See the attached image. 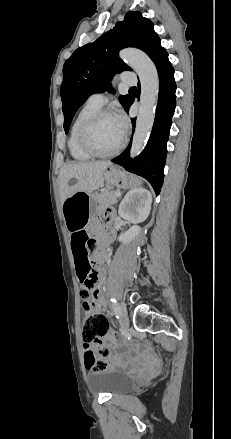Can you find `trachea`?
Masks as SVG:
<instances>
[{
	"label": "trachea",
	"instance_id": "trachea-1",
	"mask_svg": "<svg viewBox=\"0 0 231 439\" xmlns=\"http://www.w3.org/2000/svg\"><path fill=\"white\" fill-rule=\"evenodd\" d=\"M130 90H136V87H131Z\"/></svg>",
	"mask_w": 231,
	"mask_h": 439
}]
</instances>
